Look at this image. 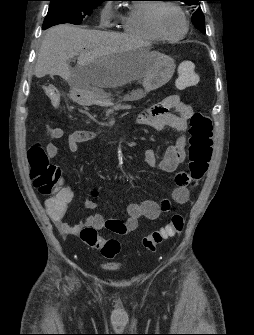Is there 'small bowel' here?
Segmentation results:
<instances>
[{"label": "small bowel", "mask_w": 254, "mask_h": 335, "mask_svg": "<svg viewBox=\"0 0 254 335\" xmlns=\"http://www.w3.org/2000/svg\"><path fill=\"white\" fill-rule=\"evenodd\" d=\"M193 114L190 104L181 100L177 94L166 97L161 102L155 104L140 118V123L157 130L172 128L179 133L176 142L170 145L163 158L157 163L155 152L147 149L144 153V160L148 166H158V168L167 173H173L177 167L185 160V130L187 121ZM50 137L53 140H60L64 137V130L59 127L50 130ZM94 138V134L87 130L73 131L68 135L67 145L70 152L78 151L80 144L88 142ZM46 153L49 158H54L58 154L56 144L50 142L46 145ZM31 175V172H30ZM35 184V178H33ZM190 178L185 172L175 174V187L171 193V199L177 204H185L189 200L188 184ZM35 187H37L35 185ZM38 188V187H37ZM96 196V192L92 193ZM74 194L70 188H65L57 194L55 198L46 201L47 207L49 201H61L62 207L59 211H53L48 208V214L56 225L59 232L63 235H76L85 227H93L96 230L106 229L117 235H126L134 232L138 228L140 218L156 220L162 213L168 212L171 208V201L164 199L161 202L146 200L142 203H130L127 207V218L125 220L107 218L100 213L87 216L83 221L76 224H69L63 220L66 206L72 201ZM86 209H96L97 203L92 199H87L84 203Z\"/></svg>", "instance_id": "small-bowel-1"}]
</instances>
